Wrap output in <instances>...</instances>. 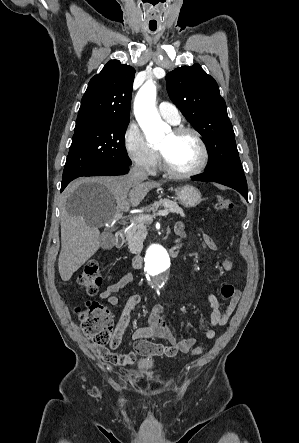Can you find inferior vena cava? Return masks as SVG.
Instances as JSON below:
<instances>
[{
	"label": "inferior vena cava",
	"instance_id": "inferior-vena-cava-1",
	"mask_svg": "<svg viewBox=\"0 0 299 443\" xmlns=\"http://www.w3.org/2000/svg\"><path fill=\"white\" fill-rule=\"evenodd\" d=\"M129 178L131 181H143L148 178V175H147L146 171L144 170V168H142L138 165H135L130 170Z\"/></svg>",
	"mask_w": 299,
	"mask_h": 443
}]
</instances>
